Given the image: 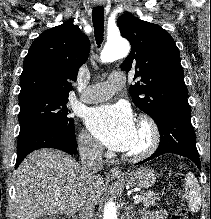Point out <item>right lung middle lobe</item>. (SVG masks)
<instances>
[{"mask_svg": "<svg viewBox=\"0 0 211 219\" xmlns=\"http://www.w3.org/2000/svg\"><path fill=\"white\" fill-rule=\"evenodd\" d=\"M67 97H35L19 101L20 132L37 125H55L66 130L74 129V120L69 118Z\"/></svg>", "mask_w": 211, "mask_h": 219, "instance_id": "dd1d6c3e", "label": "right lung middle lobe"}]
</instances>
